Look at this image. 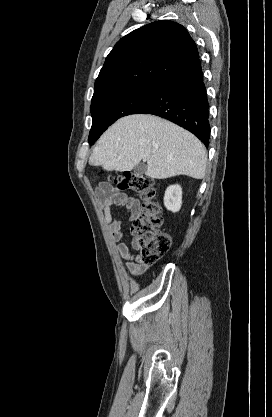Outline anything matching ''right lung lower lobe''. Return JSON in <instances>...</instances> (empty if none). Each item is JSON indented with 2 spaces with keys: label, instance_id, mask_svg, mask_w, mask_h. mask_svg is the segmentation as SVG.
I'll list each match as a JSON object with an SVG mask.
<instances>
[{
  "label": "right lung lower lobe",
  "instance_id": "98d812e1",
  "mask_svg": "<svg viewBox=\"0 0 272 417\" xmlns=\"http://www.w3.org/2000/svg\"><path fill=\"white\" fill-rule=\"evenodd\" d=\"M209 104L199 58L188 63L167 80L133 114H153L189 130L206 146L209 144Z\"/></svg>",
  "mask_w": 272,
  "mask_h": 417
}]
</instances>
